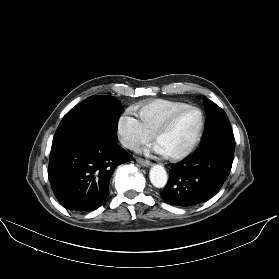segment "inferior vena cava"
I'll return each mask as SVG.
<instances>
[{
    "instance_id": "602c4592",
    "label": "inferior vena cava",
    "mask_w": 279,
    "mask_h": 279,
    "mask_svg": "<svg viewBox=\"0 0 279 279\" xmlns=\"http://www.w3.org/2000/svg\"><path fill=\"white\" fill-rule=\"evenodd\" d=\"M125 147L134 151H138L140 148L139 144L136 142H127L125 143Z\"/></svg>"
}]
</instances>
